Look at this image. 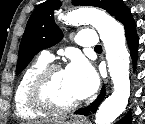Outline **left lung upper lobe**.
Listing matches in <instances>:
<instances>
[{"mask_svg":"<svg viewBox=\"0 0 145 124\" xmlns=\"http://www.w3.org/2000/svg\"><path fill=\"white\" fill-rule=\"evenodd\" d=\"M73 4L100 7L115 19L127 9L122 0H73ZM60 6L58 0H47L31 14L20 43L16 74L22 72L40 50L62 39L63 33L54 22V10Z\"/></svg>","mask_w":145,"mask_h":124,"instance_id":"1","label":"left lung upper lobe"}]
</instances>
